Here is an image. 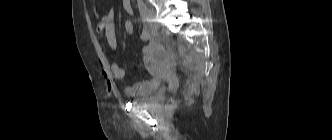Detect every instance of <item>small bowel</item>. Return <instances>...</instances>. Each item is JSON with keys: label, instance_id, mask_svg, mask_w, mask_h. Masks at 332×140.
Wrapping results in <instances>:
<instances>
[{"label": "small bowel", "instance_id": "c3829d8e", "mask_svg": "<svg viewBox=\"0 0 332 140\" xmlns=\"http://www.w3.org/2000/svg\"><path fill=\"white\" fill-rule=\"evenodd\" d=\"M123 8L125 12L129 15H133V8L131 5L130 0H123ZM92 10L95 18L97 19V25H96V31L99 35L104 36L109 48L112 51H117L118 49V41H117V35L115 32V14L114 10L110 9L107 13L101 14L94 3L92 4ZM140 39L144 42L148 41L149 35L147 32H142L140 35ZM153 45L148 44L143 48L144 53H149L152 51ZM108 81L110 86L112 85V82L114 81H120L123 80L125 77V71L123 68H121L118 64L113 63L109 66V72H108ZM147 87V82H141L136 83L131 86H127L125 88V93L129 97H134L137 95H141Z\"/></svg>", "mask_w": 332, "mask_h": 140}]
</instances>
